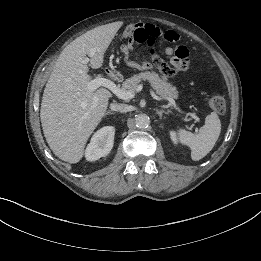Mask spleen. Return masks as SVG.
I'll return each mask as SVG.
<instances>
[{"instance_id": "1", "label": "spleen", "mask_w": 261, "mask_h": 261, "mask_svg": "<svg viewBox=\"0 0 261 261\" xmlns=\"http://www.w3.org/2000/svg\"><path fill=\"white\" fill-rule=\"evenodd\" d=\"M220 132V119L215 112H212L205 118V124L200 128L199 133L193 134L185 129H179L178 139L183 145L190 147L192 160L198 161L212 150Z\"/></svg>"}]
</instances>
